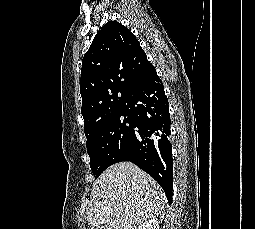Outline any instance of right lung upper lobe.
<instances>
[{"label":"right lung upper lobe","mask_w":255,"mask_h":229,"mask_svg":"<svg viewBox=\"0 0 255 229\" xmlns=\"http://www.w3.org/2000/svg\"><path fill=\"white\" fill-rule=\"evenodd\" d=\"M152 69L130 30L116 21L102 27L82 60L81 113L87 139L102 123L123 111L138 80Z\"/></svg>","instance_id":"cb5924a9"}]
</instances>
